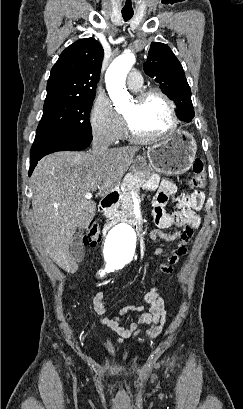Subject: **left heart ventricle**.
<instances>
[{
  "label": "left heart ventricle",
  "mask_w": 243,
  "mask_h": 409,
  "mask_svg": "<svg viewBox=\"0 0 243 409\" xmlns=\"http://www.w3.org/2000/svg\"><path fill=\"white\" fill-rule=\"evenodd\" d=\"M135 131L144 135H155L170 125V116L166 103L157 96H151L142 103L133 100L124 110Z\"/></svg>",
  "instance_id": "b2bd125f"
}]
</instances>
